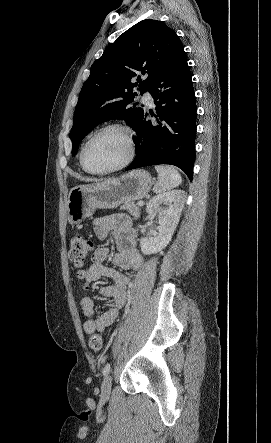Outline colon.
I'll list each match as a JSON object with an SVG mask.
<instances>
[{
    "mask_svg": "<svg viewBox=\"0 0 271 443\" xmlns=\"http://www.w3.org/2000/svg\"><path fill=\"white\" fill-rule=\"evenodd\" d=\"M93 241L82 235L73 234L69 238V259L76 268H82L88 255L93 251ZM82 276V273L80 274ZM89 346L95 351L99 352L103 348L102 337L99 333H93L89 337Z\"/></svg>",
    "mask_w": 271,
    "mask_h": 443,
    "instance_id": "colon-1",
    "label": "colon"
}]
</instances>
